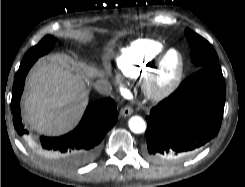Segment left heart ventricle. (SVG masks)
<instances>
[{"mask_svg": "<svg viewBox=\"0 0 245 187\" xmlns=\"http://www.w3.org/2000/svg\"><path fill=\"white\" fill-rule=\"evenodd\" d=\"M177 65H178L177 55L176 53L172 52L164 60L162 66V72L160 75V83H165L172 77V75L174 74L177 68Z\"/></svg>", "mask_w": 245, "mask_h": 187, "instance_id": "1", "label": "left heart ventricle"}]
</instances>
